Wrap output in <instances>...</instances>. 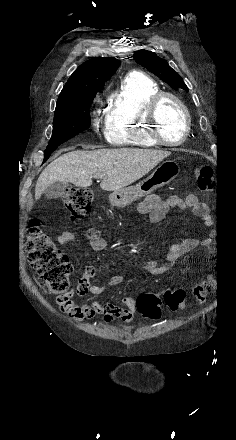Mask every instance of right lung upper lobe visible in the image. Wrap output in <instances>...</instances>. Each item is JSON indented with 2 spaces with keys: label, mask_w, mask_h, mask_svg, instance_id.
Segmentation results:
<instances>
[{
  "label": "right lung upper lobe",
  "mask_w": 236,
  "mask_h": 440,
  "mask_svg": "<svg viewBox=\"0 0 236 440\" xmlns=\"http://www.w3.org/2000/svg\"><path fill=\"white\" fill-rule=\"evenodd\" d=\"M119 65L120 62L115 58L96 57L86 61L70 76L57 104L97 93Z\"/></svg>",
  "instance_id": "obj_1"
}]
</instances>
